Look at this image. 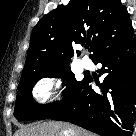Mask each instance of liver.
<instances>
[{"label": "liver", "instance_id": "obj_1", "mask_svg": "<svg viewBox=\"0 0 136 136\" xmlns=\"http://www.w3.org/2000/svg\"><path fill=\"white\" fill-rule=\"evenodd\" d=\"M14 136H93V134L67 123L48 121L22 128Z\"/></svg>", "mask_w": 136, "mask_h": 136}]
</instances>
